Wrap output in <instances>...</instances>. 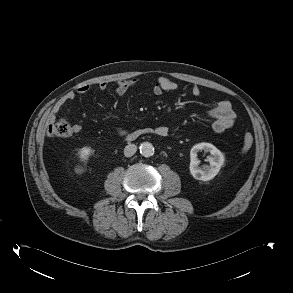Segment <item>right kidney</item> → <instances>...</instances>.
I'll return each instance as SVG.
<instances>
[{"mask_svg":"<svg viewBox=\"0 0 293 293\" xmlns=\"http://www.w3.org/2000/svg\"><path fill=\"white\" fill-rule=\"evenodd\" d=\"M92 154V149L91 147L85 146L81 149H79L78 151V157L80 159V161L86 163L89 160L90 155ZM77 173H82L83 172V168L82 167H78L76 169Z\"/></svg>","mask_w":293,"mask_h":293,"instance_id":"obj_1","label":"right kidney"}]
</instances>
